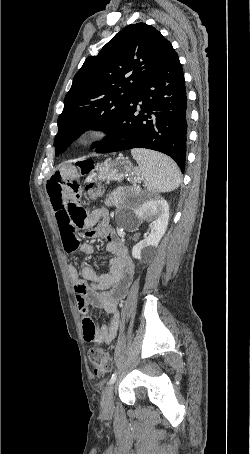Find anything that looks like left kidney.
Here are the masks:
<instances>
[{
	"mask_svg": "<svg viewBox=\"0 0 250 454\" xmlns=\"http://www.w3.org/2000/svg\"><path fill=\"white\" fill-rule=\"evenodd\" d=\"M134 213L139 223L146 220L152 222L150 234L132 249V256L141 259L155 253V249L165 234L169 220V205L162 198L150 199L137 208Z\"/></svg>",
	"mask_w": 250,
	"mask_h": 454,
	"instance_id": "left-kidney-1",
	"label": "left kidney"
}]
</instances>
